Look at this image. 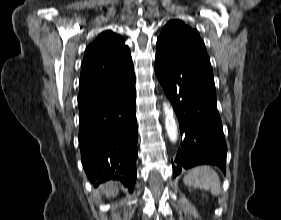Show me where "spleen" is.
Instances as JSON below:
<instances>
[{"label":"spleen","instance_id":"3e777b00","mask_svg":"<svg viewBox=\"0 0 281 220\" xmlns=\"http://www.w3.org/2000/svg\"><path fill=\"white\" fill-rule=\"evenodd\" d=\"M185 185L210 191L214 195L221 193V183L217 172L210 166H197L184 176Z\"/></svg>","mask_w":281,"mask_h":220}]
</instances>
